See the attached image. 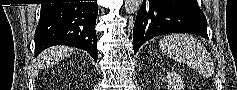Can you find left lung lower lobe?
Returning a JSON list of instances; mask_svg holds the SVG:
<instances>
[{"label": "left lung lower lobe", "mask_w": 237, "mask_h": 90, "mask_svg": "<svg viewBox=\"0 0 237 90\" xmlns=\"http://www.w3.org/2000/svg\"><path fill=\"white\" fill-rule=\"evenodd\" d=\"M180 32L208 39L207 21L196 0H144L133 28L134 54L155 36Z\"/></svg>", "instance_id": "1"}]
</instances>
